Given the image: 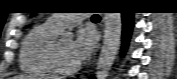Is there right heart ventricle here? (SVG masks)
I'll return each instance as SVG.
<instances>
[{"instance_id":"obj_1","label":"right heart ventricle","mask_w":177,"mask_h":79,"mask_svg":"<svg viewBox=\"0 0 177 79\" xmlns=\"http://www.w3.org/2000/svg\"><path fill=\"white\" fill-rule=\"evenodd\" d=\"M60 32L47 21L35 26L24 39L20 54V66L24 72L35 75L54 74L50 52Z\"/></svg>"}]
</instances>
